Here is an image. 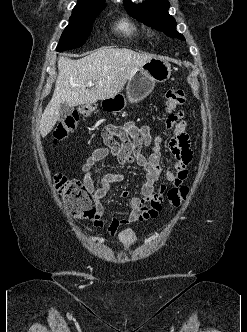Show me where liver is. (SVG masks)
<instances>
[{"label": "liver", "mask_w": 247, "mask_h": 332, "mask_svg": "<svg viewBox=\"0 0 247 332\" xmlns=\"http://www.w3.org/2000/svg\"><path fill=\"white\" fill-rule=\"evenodd\" d=\"M152 58L154 56L150 54L110 47L101 48L78 60L59 57L54 93L40 121L41 136L51 132L63 103L75 107L114 97L132 75ZM89 81L95 85L86 89Z\"/></svg>", "instance_id": "1"}]
</instances>
